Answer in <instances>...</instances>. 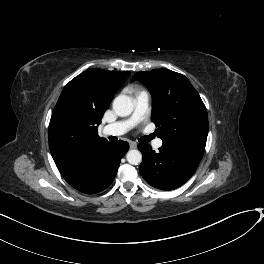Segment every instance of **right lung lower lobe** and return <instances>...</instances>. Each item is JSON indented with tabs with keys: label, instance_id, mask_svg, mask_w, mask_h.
Here are the masks:
<instances>
[{
	"label": "right lung lower lobe",
	"instance_id": "98d812e1",
	"mask_svg": "<svg viewBox=\"0 0 264 264\" xmlns=\"http://www.w3.org/2000/svg\"><path fill=\"white\" fill-rule=\"evenodd\" d=\"M128 149L129 145L125 141L108 142L95 149L79 165L62 173V176L82 193L101 192L113 182L120 161Z\"/></svg>",
	"mask_w": 264,
	"mask_h": 264
}]
</instances>
